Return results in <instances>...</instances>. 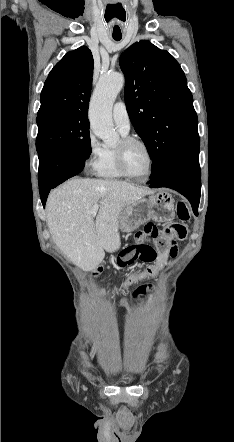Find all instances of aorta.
Segmentation results:
<instances>
[{"mask_svg": "<svg viewBox=\"0 0 234 442\" xmlns=\"http://www.w3.org/2000/svg\"><path fill=\"white\" fill-rule=\"evenodd\" d=\"M125 83L122 73H111L102 76L95 88L90 102L89 120L92 131L108 144L116 143V133L112 121L114 101Z\"/></svg>", "mask_w": 234, "mask_h": 442, "instance_id": "obj_1", "label": "aorta"}]
</instances>
